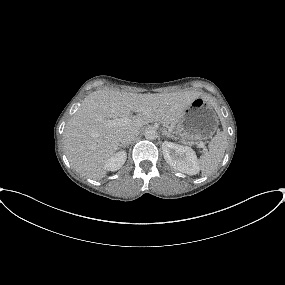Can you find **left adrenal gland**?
<instances>
[{
  "mask_svg": "<svg viewBox=\"0 0 285 285\" xmlns=\"http://www.w3.org/2000/svg\"><path fill=\"white\" fill-rule=\"evenodd\" d=\"M163 135L167 136V137H171V135L167 132V131H164L163 132Z\"/></svg>",
  "mask_w": 285,
  "mask_h": 285,
  "instance_id": "obj_1",
  "label": "left adrenal gland"
}]
</instances>
